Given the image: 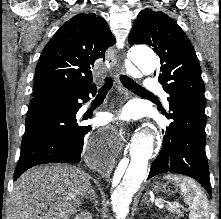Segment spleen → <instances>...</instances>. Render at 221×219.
<instances>
[{
    "instance_id": "obj_1",
    "label": "spleen",
    "mask_w": 221,
    "mask_h": 219,
    "mask_svg": "<svg viewBox=\"0 0 221 219\" xmlns=\"http://www.w3.org/2000/svg\"><path fill=\"white\" fill-rule=\"evenodd\" d=\"M181 190L184 201L189 205L190 219H209V202L202 188L193 180L184 176L168 175Z\"/></svg>"
}]
</instances>
